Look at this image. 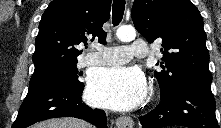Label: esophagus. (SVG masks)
Wrapping results in <instances>:
<instances>
[{
    "instance_id": "obj_1",
    "label": "esophagus",
    "mask_w": 221,
    "mask_h": 128,
    "mask_svg": "<svg viewBox=\"0 0 221 128\" xmlns=\"http://www.w3.org/2000/svg\"><path fill=\"white\" fill-rule=\"evenodd\" d=\"M116 125L118 128H133L134 122L128 116H121L120 118L117 119Z\"/></svg>"
}]
</instances>
